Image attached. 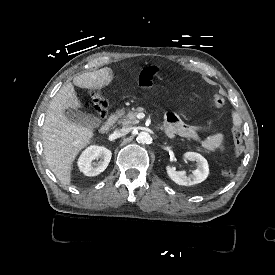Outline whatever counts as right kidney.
Wrapping results in <instances>:
<instances>
[{
	"mask_svg": "<svg viewBox=\"0 0 275 275\" xmlns=\"http://www.w3.org/2000/svg\"><path fill=\"white\" fill-rule=\"evenodd\" d=\"M112 157V153L109 149L103 146L91 145L87 147L80 155L77 165L79 170L86 176H96L103 172ZM96 158H101L98 164H92V161Z\"/></svg>",
	"mask_w": 275,
	"mask_h": 275,
	"instance_id": "1",
	"label": "right kidney"
}]
</instances>
